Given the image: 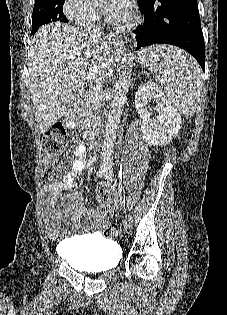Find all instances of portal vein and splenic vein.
I'll list each match as a JSON object with an SVG mask.
<instances>
[{"label":"portal vein and splenic vein","mask_w":227,"mask_h":315,"mask_svg":"<svg viewBox=\"0 0 227 315\" xmlns=\"http://www.w3.org/2000/svg\"><path fill=\"white\" fill-rule=\"evenodd\" d=\"M73 64L78 66V65L80 64V62L75 61ZM100 92H101L100 87H92V88L89 90V93H90L92 96L95 95L96 97H98V93H100Z\"/></svg>","instance_id":"portal-vein-and-splenic-vein-1"}]
</instances>
